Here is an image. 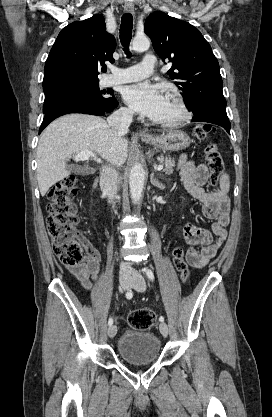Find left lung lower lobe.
<instances>
[{"label": "left lung lower lobe", "mask_w": 272, "mask_h": 417, "mask_svg": "<svg viewBox=\"0 0 272 417\" xmlns=\"http://www.w3.org/2000/svg\"><path fill=\"white\" fill-rule=\"evenodd\" d=\"M192 121L208 122V123H212V124L222 126L230 134L231 124H230V122H227L225 120H221V119L214 118V117H211V116H204V117L193 116Z\"/></svg>", "instance_id": "left-lung-lower-lobe-1"}]
</instances>
